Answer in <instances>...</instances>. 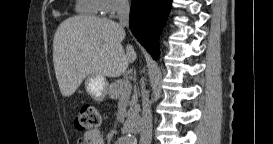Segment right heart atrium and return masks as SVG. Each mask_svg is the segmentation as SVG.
Returning <instances> with one entry per match:
<instances>
[{"instance_id":"right-heart-atrium-1","label":"right heart atrium","mask_w":273,"mask_h":144,"mask_svg":"<svg viewBox=\"0 0 273 144\" xmlns=\"http://www.w3.org/2000/svg\"><path fill=\"white\" fill-rule=\"evenodd\" d=\"M100 12L114 16L118 11L124 9L127 5L126 0H98Z\"/></svg>"}]
</instances>
